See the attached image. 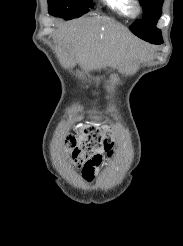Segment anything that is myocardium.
I'll return each mask as SVG.
<instances>
[{"mask_svg":"<svg viewBox=\"0 0 183 246\" xmlns=\"http://www.w3.org/2000/svg\"><path fill=\"white\" fill-rule=\"evenodd\" d=\"M142 12V7L138 0H128V15L132 18L138 17Z\"/></svg>","mask_w":183,"mask_h":246,"instance_id":"obj_1","label":"myocardium"}]
</instances>
